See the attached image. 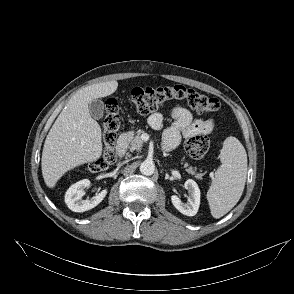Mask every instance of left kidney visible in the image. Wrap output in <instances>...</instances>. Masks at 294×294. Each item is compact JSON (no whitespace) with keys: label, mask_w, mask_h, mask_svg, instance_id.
Wrapping results in <instances>:
<instances>
[{"label":"left kidney","mask_w":294,"mask_h":294,"mask_svg":"<svg viewBox=\"0 0 294 294\" xmlns=\"http://www.w3.org/2000/svg\"><path fill=\"white\" fill-rule=\"evenodd\" d=\"M184 186L189 193L187 202H182L176 195L171 196V201L174 207L182 214L186 216H194L200 206V189L197 183L192 179H188Z\"/></svg>","instance_id":"1"}]
</instances>
